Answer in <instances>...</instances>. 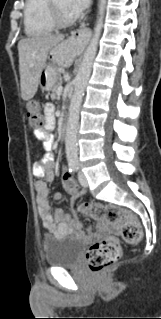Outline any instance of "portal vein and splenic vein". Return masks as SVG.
I'll return each instance as SVG.
<instances>
[{
	"label": "portal vein and splenic vein",
	"instance_id": "portal-vein-and-splenic-vein-1",
	"mask_svg": "<svg viewBox=\"0 0 161 319\" xmlns=\"http://www.w3.org/2000/svg\"><path fill=\"white\" fill-rule=\"evenodd\" d=\"M62 86H59L58 90H57V94L60 95L62 93Z\"/></svg>",
	"mask_w": 161,
	"mask_h": 319
}]
</instances>
